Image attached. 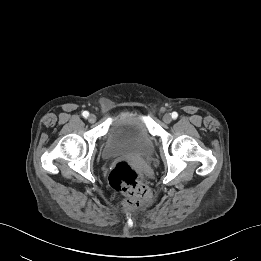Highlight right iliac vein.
Segmentation results:
<instances>
[{"instance_id":"obj_1","label":"right iliac vein","mask_w":261,"mask_h":261,"mask_svg":"<svg viewBox=\"0 0 261 261\" xmlns=\"http://www.w3.org/2000/svg\"><path fill=\"white\" fill-rule=\"evenodd\" d=\"M88 121L90 123H94L96 121V116L94 114H90L88 117Z\"/></svg>"}]
</instances>
